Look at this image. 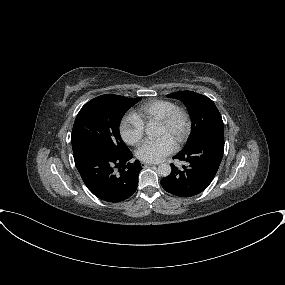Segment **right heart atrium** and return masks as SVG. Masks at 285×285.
Instances as JSON below:
<instances>
[{
	"instance_id": "1",
	"label": "right heart atrium",
	"mask_w": 285,
	"mask_h": 285,
	"mask_svg": "<svg viewBox=\"0 0 285 285\" xmlns=\"http://www.w3.org/2000/svg\"><path fill=\"white\" fill-rule=\"evenodd\" d=\"M121 138L129 145L141 143L144 136V124L135 114H126L119 123Z\"/></svg>"
}]
</instances>
